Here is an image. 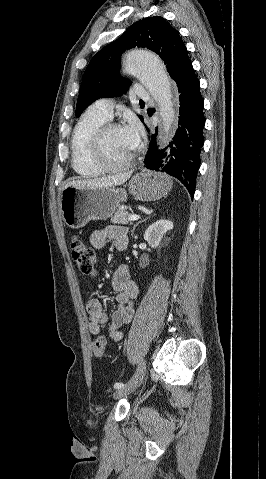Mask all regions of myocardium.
<instances>
[{
	"mask_svg": "<svg viewBox=\"0 0 266 479\" xmlns=\"http://www.w3.org/2000/svg\"><path fill=\"white\" fill-rule=\"evenodd\" d=\"M116 129H121L120 125L115 123H105L101 125L93 134L90 146L91 161L103 172H117L130 167L134 161L135 155L123 163L112 164L104 155V140L106 135Z\"/></svg>",
	"mask_w": 266,
	"mask_h": 479,
	"instance_id": "f54148a6",
	"label": "myocardium"
}]
</instances>
